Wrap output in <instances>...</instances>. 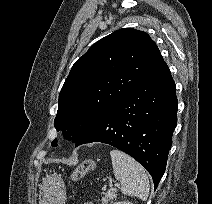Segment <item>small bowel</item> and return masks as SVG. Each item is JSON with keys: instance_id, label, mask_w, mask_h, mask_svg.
I'll list each match as a JSON object with an SVG mask.
<instances>
[{"instance_id": "1", "label": "small bowel", "mask_w": 212, "mask_h": 204, "mask_svg": "<svg viewBox=\"0 0 212 204\" xmlns=\"http://www.w3.org/2000/svg\"><path fill=\"white\" fill-rule=\"evenodd\" d=\"M84 204H93V203H91V202H87V203H84Z\"/></svg>"}]
</instances>
